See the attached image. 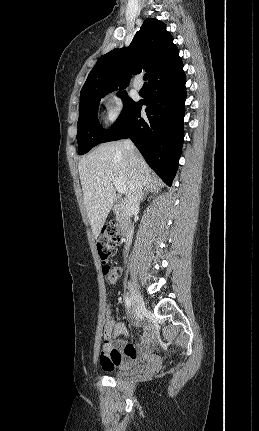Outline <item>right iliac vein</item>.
<instances>
[{
	"mask_svg": "<svg viewBox=\"0 0 259 431\" xmlns=\"http://www.w3.org/2000/svg\"><path fill=\"white\" fill-rule=\"evenodd\" d=\"M129 289H130L132 305L135 312L138 314L142 313L145 310V305L141 294L132 284H129Z\"/></svg>",
	"mask_w": 259,
	"mask_h": 431,
	"instance_id": "1",
	"label": "right iliac vein"
}]
</instances>
